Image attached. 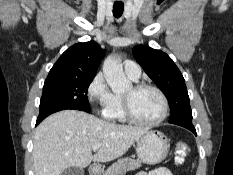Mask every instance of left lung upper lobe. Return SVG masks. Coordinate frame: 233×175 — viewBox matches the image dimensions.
Wrapping results in <instances>:
<instances>
[{
	"mask_svg": "<svg viewBox=\"0 0 233 175\" xmlns=\"http://www.w3.org/2000/svg\"><path fill=\"white\" fill-rule=\"evenodd\" d=\"M133 55L169 100V123L183 127L193 126L185 80L173 60L161 50L144 45L135 46Z\"/></svg>",
	"mask_w": 233,
	"mask_h": 175,
	"instance_id": "5c2ea615",
	"label": "left lung upper lobe"
}]
</instances>
